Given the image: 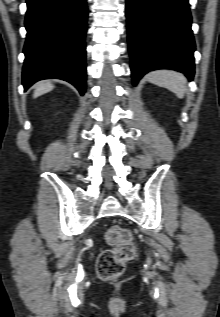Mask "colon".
I'll list each match as a JSON object with an SVG mask.
<instances>
[{"label":"colon","instance_id":"5ec220e1","mask_svg":"<svg viewBox=\"0 0 220 317\" xmlns=\"http://www.w3.org/2000/svg\"><path fill=\"white\" fill-rule=\"evenodd\" d=\"M104 238L112 248L99 255L97 272L104 280H114L123 274L126 264L135 256L133 237L128 229L115 225L105 232Z\"/></svg>","mask_w":220,"mask_h":317}]
</instances>
